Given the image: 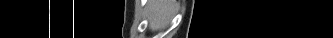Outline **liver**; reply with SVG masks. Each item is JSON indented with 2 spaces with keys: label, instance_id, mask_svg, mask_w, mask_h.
<instances>
[{
  "label": "liver",
  "instance_id": "liver-1",
  "mask_svg": "<svg viewBox=\"0 0 333 38\" xmlns=\"http://www.w3.org/2000/svg\"><path fill=\"white\" fill-rule=\"evenodd\" d=\"M172 3L167 0L155 1L151 9L150 27L152 30L159 28L163 18L170 12Z\"/></svg>",
  "mask_w": 333,
  "mask_h": 38
}]
</instances>
